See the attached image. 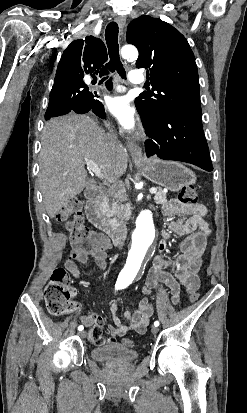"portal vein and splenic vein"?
Here are the masks:
<instances>
[{
    "mask_svg": "<svg viewBox=\"0 0 247 413\" xmlns=\"http://www.w3.org/2000/svg\"><path fill=\"white\" fill-rule=\"evenodd\" d=\"M85 162L87 168H90V170H92L96 176H99V178H103V174H101V170L96 162H93V160H85ZM150 192H157V188H150Z\"/></svg>",
    "mask_w": 247,
    "mask_h": 413,
    "instance_id": "obj_1",
    "label": "portal vein and splenic vein"
}]
</instances>
